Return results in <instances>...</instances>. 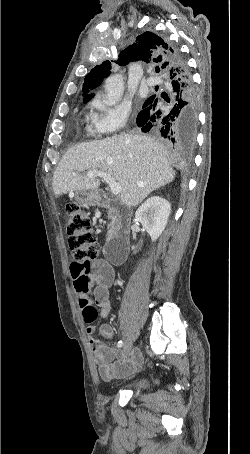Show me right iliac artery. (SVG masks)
<instances>
[{
  "instance_id": "1",
  "label": "right iliac artery",
  "mask_w": 250,
  "mask_h": 454,
  "mask_svg": "<svg viewBox=\"0 0 250 454\" xmlns=\"http://www.w3.org/2000/svg\"><path fill=\"white\" fill-rule=\"evenodd\" d=\"M122 346H123V341L120 340V341L118 342V344H117V347L120 348V347H122Z\"/></svg>"
}]
</instances>
